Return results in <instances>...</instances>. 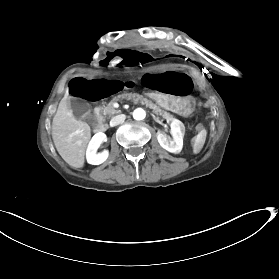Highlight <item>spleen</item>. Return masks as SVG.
Returning <instances> with one entry per match:
<instances>
[{"mask_svg": "<svg viewBox=\"0 0 279 279\" xmlns=\"http://www.w3.org/2000/svg\"><path fill=\"white\" fill-rule=\"evenodd\" d=\"M198 136L195 137V139L192 140V149H195L193 150V154H197L198 153V150L199 148L204 144V141H205V131L203 129H200L198 131ZM197 140V142H196Z\"/></svg>", "mask_w": 279, "mask_h": 279, "instance_id": "obj_1", "label": "spleen"}]
</instances>
